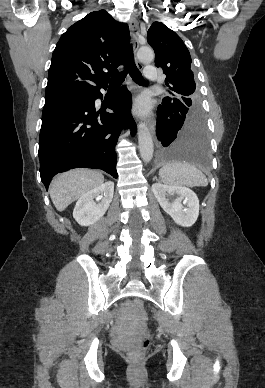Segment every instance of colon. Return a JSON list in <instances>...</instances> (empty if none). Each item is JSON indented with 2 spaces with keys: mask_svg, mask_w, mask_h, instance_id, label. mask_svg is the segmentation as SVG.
Instances as JSON below:
<instances>
[{
  "mask_svg": "<svg viewBox=\"0 0 265 388\" xmlns=\"http://www.w3.org/2000/svg\"><path fill=\"white\" fill-rule=\"evenodd\" d=\"M133 307H134V310L135 312L137 313L138 317L140 318V320L142 322H146L147 320V315H146V311H145V302L142 298H137L134 300V303H133ZM149 346V339H144L142 342H141V345L140 347L142 349H145ZM130 354L133 356V357H137L139 356L140 354V349L139 348H133L130 350Z\"/></svg>",
  "mask_w": 265,
  "mask_h": 388,
  "instance_id": "1",
  "label": "colon"
}]
</instances>
